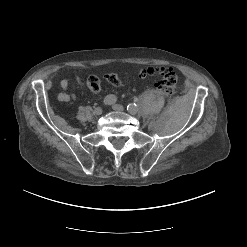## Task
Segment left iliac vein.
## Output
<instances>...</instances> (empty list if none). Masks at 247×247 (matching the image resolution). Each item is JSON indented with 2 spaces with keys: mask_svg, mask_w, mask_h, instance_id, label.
<instances>
[{
  "mask_svg": "<svg viewBox=\"0 0 247 247\" xmlns=\"http://www.w3.org/2000/svg\"><path fill=\"white\" fill-rule=\"evenodd\" d=\"M112 109L115 110V111H123L124 110V107L120 104H114L112 106Z\"/></svg>",
  "mask_w": 247,
  "mask_h": 247,
  "instance_id": "4c4485c4",
  "label": "left iliac vein"
}]
</instances>
